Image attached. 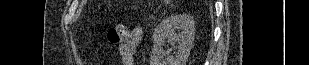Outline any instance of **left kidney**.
<instances>
[{"label": "left kidney", "mask_w": 309, "mask_h": 65, "mask_svg": "<svg viewBox=\"0 0 309 65\" xmlns=\"http://www.w3.org/2000/svg\"><path fill=\"white\" fill-rule=\"evenodd\" d=\"M181 29L180 33H176ZM195 36V22L187 14L173 15L163 19L155 28L152 39L153 49L150 65H164L163 57L166 55L162 49L165 39L172 44L178 43L176 56H167L165 65H186L187 58L193 46Z\"/></svg>", "instance_id": "obj_1"}]
</instances>
